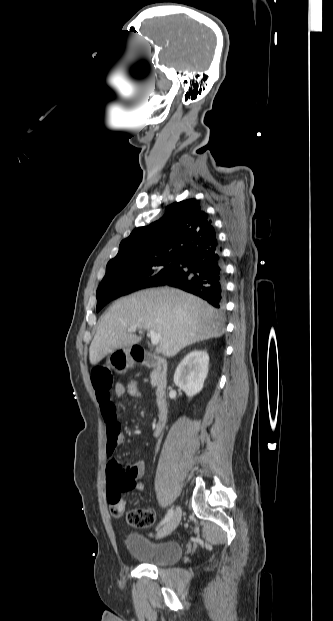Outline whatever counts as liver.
I'll use <instances>...</instances> for the list:
<instances>
[{"instance_id":"6515ba94","label":"liver","mask_w":333,"mask_h":621,"mask_svg":"<svg viewBox=\"0 0 333 621\" xmlns=\"http://www.w3.org/2000/svg\"><path fill=\"white\" fill-rule=\"evenodd\" d=\"M223 316L203 300L183 291L163 287L121 298L100 318L89 348L92 365L120 348L141 340L128 331L152 329L161 334L160 352L175 356L192 343L223 335Z\"/></svg>"}]
</instances>
